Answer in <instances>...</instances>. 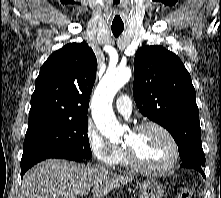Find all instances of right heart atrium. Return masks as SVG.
I'll return each instance as SVG.
<instances>
[{"label": "right heart atrium", "mask_w": 221, "mask_h": 198, "mask_svg": "<svg viewBox=\"0 0 221 198\" xmlns=\"http://www.w3.org/2000/svg\"><path fill=\"white\" fill-rule=\"evenodd\" d=\"M86 141L94 158L105 166L117 163L120 148L105 138L93 125H88Z\"/></svg>", "instance_id": "d8ad5b80"}]
</instances>
